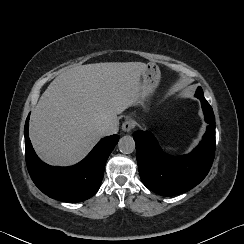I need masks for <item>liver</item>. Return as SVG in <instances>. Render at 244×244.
Returning a JSON list of instances; mask_svg holds the SVG:
<instances>
[{
  "label": "liver",
  "instance_id": "1",
  "mask_svg": "<svg viewBox=\"0 0 244 244\" xmlns=\"http://www.w3.org/2000/svg\"><path fill=\"white\" fill-rule=\"evenodd\" d=\"M142 62H106L66 68L35 106L29 137L37 155L53 166L80 162L101 139L105 122L142 97Z\"/></svg>",
  "mask_w": 244,
  "mask_h": 244
}]
</instances>
